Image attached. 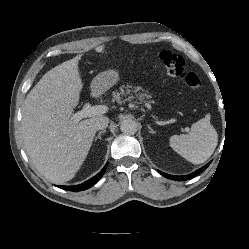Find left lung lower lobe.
Segmentation results:
<instances>
[{
	"label": "left lung lower lobe",
	"instance_id": "0a47b994",
	"mask_svg": "<svg viewBox=\"0 0 249 249\" xmlns=\"http://www.w3.org/2000/svg\"><path fill=\"white\" fill-rule=\"evenodd\" d=\"M211 162H209L208 164H206L205 166L201 167L200 169L196 170L195 172L189 174V175H185V176H174V175H169V174H166V173H163L161 171H159L163 176H165L166 178H169V179H174V180H188V179H192L194 178L195 176H197L199 173H201L202 171H204L209 165H210Z\"/></svg>",
	"mask_w": 249,
	"mask_h": 249
}]
</instances>
